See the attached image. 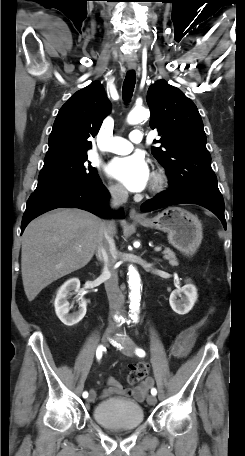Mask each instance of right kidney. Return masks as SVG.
<instances>
[{
    "label": "right kidney",
    "mask_w": 245,
    "mask_h": 456,
    "mask_svg": "<svg viewBox=\"0 0 245 456\" xmlns=\"http://www.w3.org/2000/svg\"><path fill=\"white\" fill-rule=\"evenodd\" d=\"M80 281L77 278H71L67 280L58 290L54 306L57 317L66 326H74L79 323L86 314L87 302L79 296ZM77 294L76 298L79 302V309L77 312L69 314V302L68 299L73 295Z\"/></svg>",
    "instance_id": "ca27d5eb"
}]
</instances>
